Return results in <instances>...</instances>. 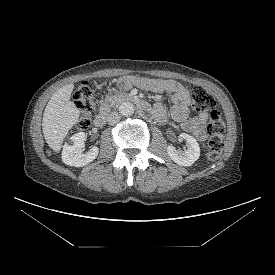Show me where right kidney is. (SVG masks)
I'll use <instances>...</instances> for the list:
<instances>
[{"label":"right kidney","instance_id":"ca27d5eb","mask_svg":"<svg viewBox=\"0 0 275 275\" xmlns=\"http://www.w3.org/2000/svg\"><path fill=\"white\" fill-rule=\"evenodd\" d=\"M70 140L73 142L72 145L65 144L62 150V161L75 167H83L92 162L99 153L98 147H92L88 152L82 153L85 146L84 141L86 135L84 132L74 134Z\"/></svg>","mask_w":275,"mask_h":275}]
</instances>
